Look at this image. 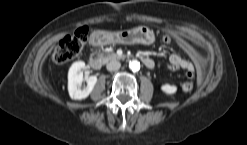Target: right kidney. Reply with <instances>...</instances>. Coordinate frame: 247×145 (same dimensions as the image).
<instances>
[{
	"label": "right kidney",
	"instance_id": "right-kidney-1",
	"mask_svg": "<svg viewBox=\"0 0 247 145\" xmlns=\"http://www.w3.org/2000/svg\"><path fill=\"white\" fill-rule=\"evenodd\" d=\"M85 63L83 61L75 62L71 65L68 73V91L72 99L82 100L89 96L95 84L97 83L96 76H90L87 79V86L83 89L80 88L83 81V70Z\"/></svg>",
	"mask_w": 247,
	"mask_h": 145
}]
</instances>
